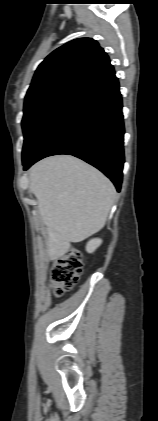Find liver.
Returning a JSON list of instances; mask_svg holds the SVG:
<instances>
[{"instance_id":"6515ba94","label":"liver","mask_w":158,"mask_h":421,"mask_svg":"<svg viewBox=\"0 0 158 421\" xmlns=\"http://www.w3.org/2000/svg\"><path fill=\"white\" fill-rule=\"evenodd\" d=\"M29 178L47 228L51 260L62 257L71 242H81L104 227L116 190L97 169L72 156H54L36 163Z\"/></svg>"}]
</instances>
